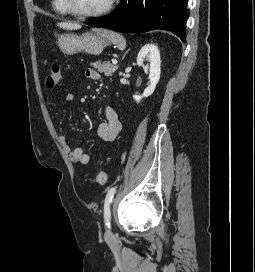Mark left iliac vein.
<instances>
[{"label":"left iliac vein","instance_id":"4c4485c4","mask_svg":"<svg viewBox=\"0 0 255 272\" xmlns=\"http://www.w3.org/2000/svg\"><path fill=\"white\" fill-rule=\"evenodd\" d=\"M105 236L108 237V238L112 236V232H111L110 229H107V230H106Z\"/></svg>","mask_w":255,"mask_h":272}]
</instances>
